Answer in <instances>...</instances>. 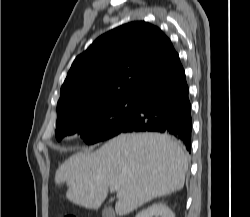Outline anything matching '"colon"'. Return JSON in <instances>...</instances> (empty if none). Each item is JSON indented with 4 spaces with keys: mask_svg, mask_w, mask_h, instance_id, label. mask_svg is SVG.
<instances>
[{
    "mask_svg": "<svg viewBox=\"0 0 250 217\" xmlns=\"http://www.w3.org/2000/svg\"><path fill=\"white\" fill-rule=\"evenodd\" d=\"M64 217H76L74 214L68 213L66 215H64Z\"/></svg>",
    "mask_w": 250,
    "mask_h": 217,
    "instance_id": "colon-1",
    "label": "colon"
}]
</instances>
